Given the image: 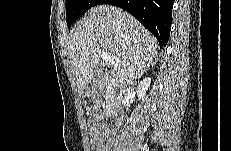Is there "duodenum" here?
<instances>
[{
  "mask_svg": "<svg viewBox=\"0 0 231 151\" xmlns=\"http://www.w3.org/2000/svg\"><path fill=\"white\" fill-rule=\"evenodd\" d=\"M105 81H99L98 87L100 90L104 88ZM122 110L121 109H112L110 113L107 115L108 119H113L116 122H119L122 119Z\"/></svg>",
  "mask_w": 231,
  "mask_h": 151,
  "instance_id": "1",
  "label": "duodenum"
}]
</instances>
